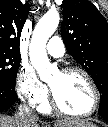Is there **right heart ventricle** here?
<instances>
[{
  "mask_svg": "<svg viewBox=\"0 0 108 127\" xmlns=\"http://www.w3.org/2000/svg\"><path fill=\"white\" fill-rule=\"evenodd\" d=\"M40 110L44 113L51 112V106L47 100L40 104Z\"/></svg>",
  "mask_w": 108,
  "mask_h": 127,
  "instance_id": "right-heart-ventricle-1",
  "label": "right heart ventricle"
}]
</instances>
